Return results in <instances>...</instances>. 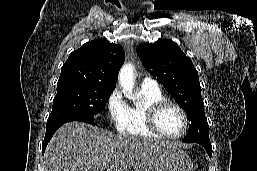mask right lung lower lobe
<instances>
[{"label": "right lung lower lobe", "instance_id": "1", "mask_svg": "<svg viewBox=\"0 0 257 171\" xmlns=\"http://www.w3.org/2000/svg\"><path fill=\"white\" fill-rule=\"evenodd\" d=\"M71 121H81V122L94 125V119H88V118L77 117V116H65V117H61L53 120H48L46 124L45 138L42 143V154H44L46 146L50 141V139L52 138L53 134L56 132V130L64 123L71 122Z\"/></svg>", "mask_w": 257, "mask_h": 171}]
</instances>
